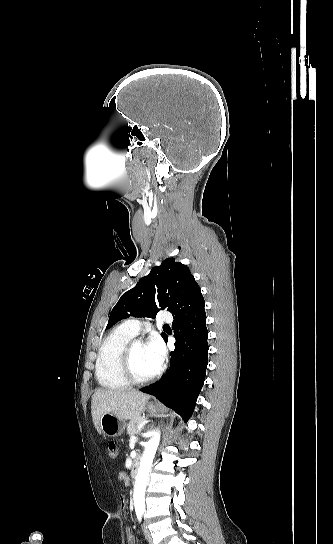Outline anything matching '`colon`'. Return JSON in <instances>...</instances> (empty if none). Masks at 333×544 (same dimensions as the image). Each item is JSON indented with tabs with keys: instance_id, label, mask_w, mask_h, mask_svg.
Masks as SVG:
<instances>
[{
	"instance_id": "obj_1",
	"label": "colon",
	"mask_w": 333,
	"mask_h": 544,
	"mask_svg": "<svg viewBox=\"0 0 333 544\" xmlns=\"http://www.w3.org/2000/svg\"><path fill=\"white\" fill-rule=\"evenodd\" d=\"M108 455L111 459H116L118 455L117 445L114 441H108L106 444Z\"/></svg>"
}]
</instances>
